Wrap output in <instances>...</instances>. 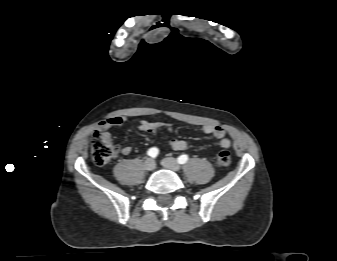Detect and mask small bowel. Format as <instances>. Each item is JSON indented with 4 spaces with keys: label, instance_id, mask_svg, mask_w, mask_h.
<instances>
[{
    "label": "small bowel",
    "instance_id": "1",
    "mask_svg": "<svg viewBox=\"0 0 337 261\" xmlns=\"http://www.w3.org/2000/svg\"><path fill=\"white\" fill-rule=\"evenodd\" d=\"M124 122V119L119 116H114L102 121L99 124L101 129H108L112 127H120ZM136 128L140 131L156 134L162 130H172V125L162 122H150L147 120H140L136 124ZM202 131L205 134L212 135L216 144L221 148L228 149L231 147V140L226 136V130L220 125L206 124L202 126ZM171 147L176 151H183L189 147V143L183 139L174 138L171 140ZM132 147L129 145L120 148V152L124 155L130 154Z\"/></svg>",
    "mask_w": 337,
    "mask_h": 261
}]
</instances>
